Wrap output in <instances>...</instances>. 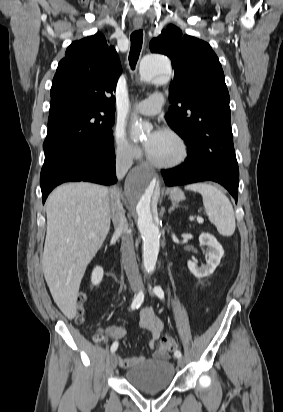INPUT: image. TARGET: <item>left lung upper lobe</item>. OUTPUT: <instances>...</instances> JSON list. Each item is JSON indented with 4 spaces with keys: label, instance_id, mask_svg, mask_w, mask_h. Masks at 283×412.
<instances>
[{
    "label": "left lung upper lobe",
    "instance_id": "left-lung-upper-lobe-1",
    "mask_svg": "<svg viewBox=\"0 0 283 412\" xmlns=\"http://www.w3.org/2000/svg\"><path fill=\"white\" fill-rule=\"evenodd\" d=\"M153 53L172 60L168 125L185 141L194 138L216 159L226 161L225 173L239 178L230 124L229 93L218 57L211 46L185 35L174 25L150 42Z\"/></svg>",
    "mask_w": 283,
    "mask_h": 412
}]
</instances>
